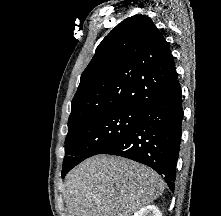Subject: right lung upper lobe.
<instances>
[{
  "mask_svg": "<svg viewBox=\"0 0 221 216\" xmlns=\"http://www.w3.org/2000/svg\"><path fill=\"white\" fill-rule=\"evenodd\" d=\"M177 78L169 44L145 15L129 17L99 44L81 75L68 126L120 108H142Z\"/></svg>",
  "mask_w": 221,
  "mask_h": 216,
  "instance_id": "1",
  "label": "right lung upper lobe"
}]
</instances>
